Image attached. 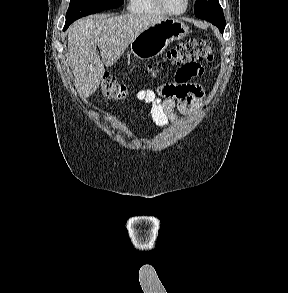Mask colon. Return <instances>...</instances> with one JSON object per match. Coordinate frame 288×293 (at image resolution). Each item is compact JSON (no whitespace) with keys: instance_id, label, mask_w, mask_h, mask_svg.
I'll return each instance as SVG.
<instances>
[{"instance_id":"obj_1","label":"colon","mask_w":288,"mask_h":293,"mask_svg":"<svg viewBox=\"0 0 288 293\" xmlns=\"http://www.w3.org/2000/svg\"><path fill=\"white\" fill-rule=\"evenodd\" d=\"M214 58V47L207 39H188L169 50L162 63L170 66L183 67L198 61L211 62ZM158 71L157 66L149 65L148 72L154 75ZM103 95L112 100H120L126 97L127 87L113 75H105L101 82Z\"/></svg>"}]
</instances>
